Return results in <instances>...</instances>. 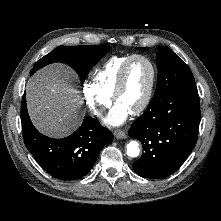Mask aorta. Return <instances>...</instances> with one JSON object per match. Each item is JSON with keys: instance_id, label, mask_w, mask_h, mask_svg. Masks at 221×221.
<instances>
[{"instance_id": "obj_1", "label": "aorta", "mask_w": 221, "mask_h": 221, "mask_svg": "<svg viewBox=\"0 0 221 221\" xmlns=\"http://www.w3.org/2000/svg\"><path fill=\"white\" fill-rule=\"evenodd\" d=\"M140 148L139 143L136 141H131L127 144V154L131 157H137L139 155Z\"/></svg>"}]
</instances>
